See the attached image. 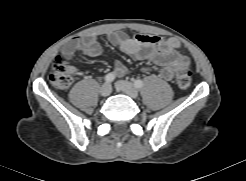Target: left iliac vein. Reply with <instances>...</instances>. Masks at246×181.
I'll return each mask as SVG.
<instances>
[{"mask_svg":"<svg viewBox=\"0 0 246 181\" xmlns=\"http://www.w3.org/2000/svg\"><path fill=\"white\" fill-rule=\"evenodd\" d=\"M115 86L119 91L125 93L126 95H128L132 99H136L139 95V92L136 89V87L128 81L119 80L116 82Z\"/></svg>","mask_w":246,"mask_h":181,"instance_id":"1","label":"left iliac vein"}]
</instances>
